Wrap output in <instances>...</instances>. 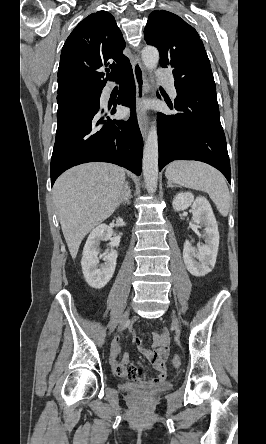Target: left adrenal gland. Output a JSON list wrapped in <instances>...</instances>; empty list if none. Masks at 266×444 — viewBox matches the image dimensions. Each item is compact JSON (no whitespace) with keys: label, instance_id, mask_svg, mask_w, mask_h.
Masks as SVG:
<instances>
[{"label":"left adrenal gland","instance_id":"a2214340","mask_svg":"<svg viewBox=\"0 0 266 444\" xmlns=\"http://www.w3.org/2000/svg\"><path fill=\"white\" fill-rule=\"evenodd\" d=\"M167 183H168L167 188H169V187H176V185H173L170 181H168Z\"/></svg>","mask_w":266,"mask_h":444}]
</instances>
